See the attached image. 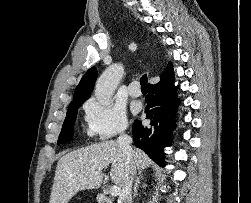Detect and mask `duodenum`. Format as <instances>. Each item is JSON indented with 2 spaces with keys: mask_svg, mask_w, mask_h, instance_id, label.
Returning <instances> with one entry per match:
<instances>
[{
  "mask_svg": "<svg viewBox=\"0 0 251 203\" xmlns=\"http://www.w3.org/2000/svg\"><path fill=\"white\" fill-rule=\"evenodd\" d=\"M99 203H112V201L104 194L98 196Z\"/></svg>",
  "mask_w": 251,
  "mask_h": 203,
  "instance_id": "obj_1",
  "label": "duodenum"
}]
</instances>
